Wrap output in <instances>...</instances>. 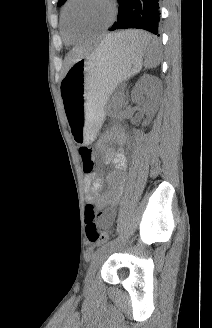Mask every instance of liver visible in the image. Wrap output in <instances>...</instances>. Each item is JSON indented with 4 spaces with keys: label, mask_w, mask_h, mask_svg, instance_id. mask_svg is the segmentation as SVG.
<instances>
[{
    "label": "liver",
    "mask_w": 212,
    "mask_h": 328,
    "mask_svg": "<svg viewBox=\"0 0 212 328\" xmlns=\"http://www.w3.org/2000/svg\"><path fill=\"white\" fill-rule=\"evenodd\" d=\"M112 34L107 35L106 37L111 36ZM90 53V50L85 48H74L72 49L66 58V64L68 68L73 65L75 62H77L79 59L83 58L84 56L88 55Z\"/></svg>",
    "instance_id": "liver-1"
}]
</instances>
